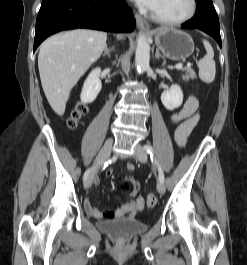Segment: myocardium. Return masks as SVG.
Segmentation results:
<instances>
[{
	"instance_id": "1",
	"label": "myocardium",
	"mask_w": 247,
	"mask_h": 265,
	"mask_svg": "<svg viewBox=\"0 0 247 265\" xmlns=\"http://www.w3.org/2000/svg\"><path fill=\"white\" fill-rule=\"evenodd\" d=\"M189 2H190V7H189L188 12L179 18H175V19L164 18L154 13L152 10L149 12L150 17L157 23L166 25V26H177V25L184 24L195 16V14L197 13V9H198L197 0H189Z\"/></svg>"
}]
</instances>
